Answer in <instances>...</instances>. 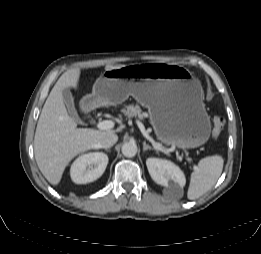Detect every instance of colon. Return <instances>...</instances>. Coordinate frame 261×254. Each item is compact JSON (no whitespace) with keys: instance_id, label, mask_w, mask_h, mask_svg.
<instances>
[{"instance_id":"colon-1","label":"colon","mask_w":261,"mask_h":254,"mask_svg":"<svg viewBox=\"0 0 261 254\" xmlns=\"http://www.w3.org/2000/svg\"><path fill=\"white\" fill-rule=\"evenodd\" d=\"M225 126V118L222 115L214 117V127L212 131V138L217 139Z\"/></svg>"}]
</instances>
